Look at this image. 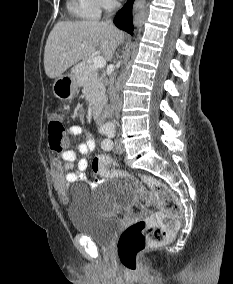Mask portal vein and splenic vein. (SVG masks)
Returning a JSON list of instances; mask_svg holds the SVG:
<instances>
[{"instance_id":"1","label":"portal vein and splenic vein","mask_w":233,"mask_h":284,"mask_svg":"<svg viewBox=\"0 0 233 284\" xmlns=\"http://www.w3.org/2000/svg\"><path fill=\"white\" fill-rule=\"evenodd\" d=\"M92 65L94 68H103L106 65V60L101 56H97L93 59Z\"/></svg>"}]
</instances>
